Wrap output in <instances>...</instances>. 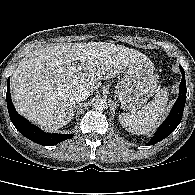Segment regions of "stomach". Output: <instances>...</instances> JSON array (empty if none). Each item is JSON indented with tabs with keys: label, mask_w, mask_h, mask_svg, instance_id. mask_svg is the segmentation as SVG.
I'll list each match as a JSON object with an SVG mask.
<instances>
[{
	"label": "stomach",
	"mask_w": 195,
	"mask_h": 195,
	"mask_svg": "<svg viewBox=\"0 0 195 195\" xmlns=\"http://www.w3.org/2000/svg\"><path fill=\"white\" fill-rule=\"evenodd\" d=\"M154 70L153 63L147 57L139 58L125 69L116 89V95L124 110L134 112L154 95L158 84Z\"/></svg>",
	"instance_id": "obj_1"
}]
</instances>
